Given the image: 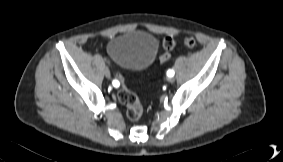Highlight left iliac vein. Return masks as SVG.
I'll list each match as a JSON object with an SVG mask.
<instances>
[{"label": "left iliac vein", "mask_w": 283, "mask_h": 162, "mask_svg": "<svg viewBox=\"0 0 283 162\" xmlns=\"http://www.w3.org/2000/svg\"><path fill=\"white\" fill-rule=\"evenodd\" d=\"M174 78L173 77H168V79H167V81L169 82V83H173L174 82Z\"/></svg>", "instance_id": "1"}]
</instances>
